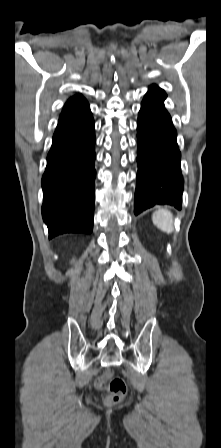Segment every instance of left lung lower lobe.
Masks as SVG:
<instances>
[{"mask_svg":"<svg viewBox=\"0 0 221 448\" xmlns=\"http://www.w3.org/2000/svg\"><path fill=\"white\" fill-rule=\"evenodd\" d=\"M167 94L156 88L146 93L137 122V187L134 213L156 204L181 209L183 177L177 132L165 109Z\"/></svg>","mask_w":221,"mask_h":448,"instance_id":"left-lung-lower-lobe-1","label":"left lung lower lobe"}]
</instances>
